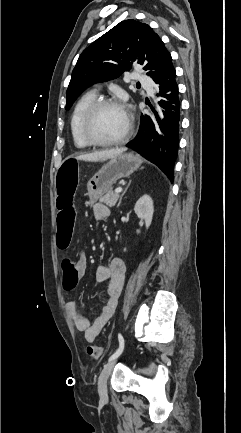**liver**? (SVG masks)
I'll list each match as a JSON object with an SVG mask.
<instances>
[{
	"label": "liver",
	"instance_id": "1",
	"mask_svg": "<svg viewBox=\"0 0 241 433\" xmlns=\"http://www.w3.org/2000/svg\"><path fill=\"white\" fill-rule=\"evenodd\" d=\"M125 150H126L125 148H120V149H111L106 151L94 152V153L77 156L76 159L83 160V161H91V162L105 161L107 159L114 158L115 156L123 153Z\"/></svg>",
	"mask_w": 241,
	"mask_h": 433
}]
</instances>
